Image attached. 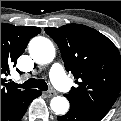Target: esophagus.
Here are the masks:
<instances>
[{"instance_id":"34e87169","label":"esophagus","mask_w":121,"mask_h":121,"mask_svg":"<svg viewBox=\"0 0 121 121\" xmlns=\"http://www.w3.org/2000/svg\"><path fill=\"white\" fill-rule=\"evenodd\" d=\"M44 95L48 98L52 97L54 95V93L52 91H47V92H44Z\"/></svg>"}]
</instances>
